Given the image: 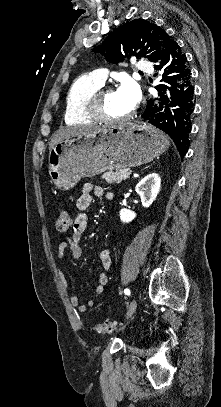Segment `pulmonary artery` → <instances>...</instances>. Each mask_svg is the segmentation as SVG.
Listing matches in <instances>:
<instances>
[{
	"label": "pulmonary artery",
	"instance_id": "1",
	"mask_svg": "<svg viewBox=\"0 0 221 407\" xmlns=\"http://www.w3.org/2000/svg\"><path fill=\"white\" fill-rule=\"evenodd\" d=\"M138 73H145L151 70L150 65L145 61H138L136 64ZM98 83L103 85L107 79V72L103 69H95L89 73Z\"/></svg>",
	"mask_w": 221,
	"mask_h": 407
}]
</instances>
